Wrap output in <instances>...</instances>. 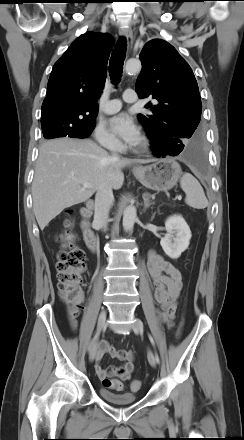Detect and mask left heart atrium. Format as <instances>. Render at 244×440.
<instances>
[{"mask_svg": "<svg viewBox=\"0 0 244 440\" xmlns=\"http://www.w3.org/2000/svg\"><path fill=\"white\" fill-rule=\"evenodd\" d=\"M114 134L128 144L134 145L139 141L140 132L134 120L125 113L118 114L110 120Z\"/></svg>", "mask_w": 244, "mask_h": 440, "instance_id": "obj_1", "label": "left heart atrium"}]
</instances>
